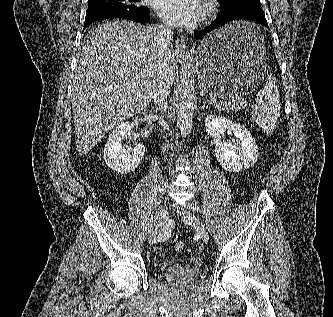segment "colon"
<instances>
[{
    "label": "colon",
    "mask_w": 333,
    "mask_h": 317,
    "mask_svg": "<svg viewBox=\"0 0 333 317\" xmlns=\"http://www.w3.org/2000/svg\"><path fill=\"white\" fill-rule=\"evenodd\" d=\"M184 249H185V244H184V242H182V241H178V242L175 243V245H174V250H175L176 252H183Z\"/></svg>",
    "instance_id": "1"
}]
</instances>
